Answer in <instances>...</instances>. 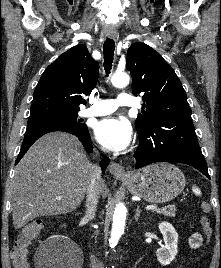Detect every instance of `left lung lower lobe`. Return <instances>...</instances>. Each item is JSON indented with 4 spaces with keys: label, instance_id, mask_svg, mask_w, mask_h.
Wrapping results in <instances>:
<instances>
[{
    "label": "left lung lower lobe",
    "instance_id": "0a47b994",
    "mask_svg": "<svg viewBox=\"0 0 221 268\" xmlns=\"http://www.w3.org/2000/svg\"><path fill=\"white\" fill-rule=\"evenodd\" d=\"M138 135L139 146L134 153L135 168L155 162L184 163L210 179L191 119L159 118L147 132Z\"/></svg>",
    "mask_w": 221,
    "mask_h": 268
}]
</instances>
